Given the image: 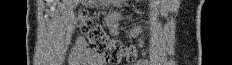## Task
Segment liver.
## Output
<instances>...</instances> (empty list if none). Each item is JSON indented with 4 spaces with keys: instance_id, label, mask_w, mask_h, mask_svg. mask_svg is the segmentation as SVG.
<instances>
[{
    "instance_id": "1",
    "label": "liver",
    "mask_w": 232,
    "mask_h": 65,
    "mask_svg": "<svg viewBox=\"0 0 232 65\" xmlns=\"http://www.w3.org/2000/svg\"><path fill=\"white\" fill-rule=\"evenodd\" d=\"M67 3H69V4H72V6L74 7V5L76 4V0H68V1H66Z\"/></svg>"
}]
</instances>
